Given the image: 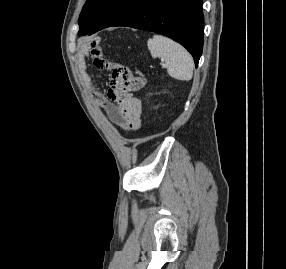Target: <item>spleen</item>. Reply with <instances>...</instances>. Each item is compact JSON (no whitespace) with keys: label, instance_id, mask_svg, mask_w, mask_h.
Here are the masks:
<instances>
[{"label":"spleen","instance_id":"spleen-1","mask_svg":"<svg viewBox=\"0 0 286 269\" xmlns=\"http://www.w3.org/2000/svg\"><path fill=\"white\" fill-rule=\"evenodd\" d=\"M153 58H161L167 65L168 74L177 80L189 81L193 77V58L188 51L175 41L154 35L147 41Z\"/></svg>","mask_w":286,"mask_h":269}]
</instances>
